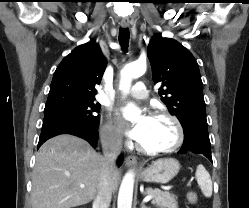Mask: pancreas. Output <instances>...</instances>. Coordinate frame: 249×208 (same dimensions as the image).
Listing matches in <instances>:
<instances>
[{"instance_id": "1", "label": "pancreas", "mask_w": 249, "mask_h": 208, "mask_svg": "<svg viewBox=\"0 0 249 208\" xmlns=\"http://www.w3.org/2000/svg\"><path fill=\"white\" fill-rule=\"evenodd\" d=\"M146 195L152 196V204L160 208H178L177 197L158 188H146Z\"/></svg>"}]
</instances>
